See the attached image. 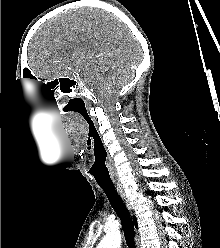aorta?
I'll return each instance as SVG.
<instances>
[{"instance_id":"762f6f07","label":"aorta","mask_w":220,"mask_h":248,"mask_svg":"<svg viewBox=\"0 0 220 248\" xmlns=\"http://www.w3.org/2000/svg\"><path fill=\"white\" fill-rule=\"evenodd\" d=\"M120 245L121 234L119 232H108L97 248H120Z\"/></svg>"}]
</instances>
